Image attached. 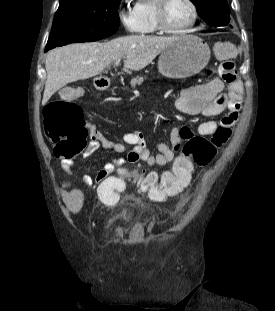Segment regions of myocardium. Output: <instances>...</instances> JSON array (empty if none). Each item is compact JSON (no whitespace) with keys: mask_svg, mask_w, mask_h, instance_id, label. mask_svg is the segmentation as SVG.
<instances>
[{"mask_svg":"<svg viewBox=\"0 0 275 311\" xmlns=\"http://www.w3.org/2000/svg\"><path fill=\"white\" fill-rule=\"evenodd\" d=\"M169 2L170 0H156L155 18L157 29L162 33L170 35H178L186 33L189 29H191L195 25L198 19V9L194 0H186V2L189 4L191 8L192 17L191 20L184 27L179 29L169 28L165 22V11Z\"/></svg>","mask_w":275,"mask_h":311,"instance_id":"obj_1","label":"myocardium"}]
</instances>
